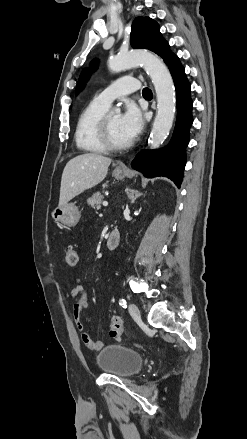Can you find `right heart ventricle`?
Returning <instances> with one entry per match:
<instances>
[{
	"label": "right heart ventricle",
	"mask_w": 247,
	"mask_h": 439,
	"mask_svg": "<svg viewBox=\"0 0 247 439\" xmlns=\"http://www.w3.org/2000/svg\"><path fill=\"white\" fill-rule=\"evenodd\" d=\"M108 109V105L93 99L82 110L74 135L76 145L80 150L90 153L106 152L107 149L99 138V124Z\"/></svg>",
	"instance_id": "e07e8e85"
}]
</instances>
